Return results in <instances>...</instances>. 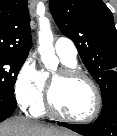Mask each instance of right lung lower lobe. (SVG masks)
<instances>
[{"label":"right lung lower lobe","instance_id":"right-lung-lower-lobe-1","mask_svg":"<svg viewBox=\"0 0 117 136\" xmlns=\"http://www.w3.org/2000/svg\"><path fill=\"white\" fill-rule=\"evenodd\" d=\"M17 106L15 96L0 94V122L12 115Z\"/></svg>","mask_w":117,"mask_h":136}]
</instances>
